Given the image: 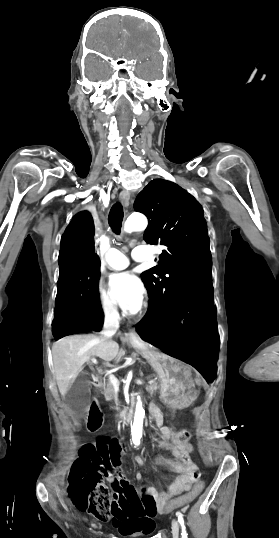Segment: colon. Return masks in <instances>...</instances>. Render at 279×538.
Returning a JSON list of instances; mask_svg holds the SVG:
<instances>
[{
	"label": "colon",
	"mask_w": 279,
	"mask_h": 538,
	"mask_svg": "<svg viewBox=\"0 0 279 538\" xmlns=\"http://www.w3.org/2000/svg\"><path fill=\"white\" fill-rule=\"evenodd\" d=\"M189 439L190 432L186 429L176 435L177 443L185 447L182 455L185 474L195 484L189 492L170 500L163 508H158L151 488L137 490L128 480L115 474L120 468L124 446L120 439L109 435L80 448L79 457L69 474L71 501L77 508L87 510L101 521L115 516L154 517L157 512L165 513L188 505L204 487L199 480L197 456L188 446ZM106 479H109V486Z\"/></svg>",
	"instance_id": "obj_1"
}]
</instances>
